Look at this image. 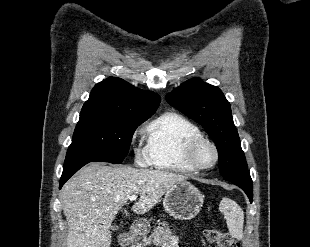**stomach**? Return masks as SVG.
Returning <instances> with one entry per match:
<instances>
[{"instance_id":"0dacf381","label":"stomach","mask_w":310,"mask_h":247,"mask_svg":"<svg viewBox=\"0 0 310 247\" xmlns=\"http://www.w3.org/2000/svg\"><path fill=\"white\" fill-rule=\"evenodd\" d=\"M203 199V194L192 183L183 181L166 192L163 206L173 218L191 220L200 212ZM133 230L135 236H144L149 232L150 225L146 220H137Z\"/></svg>"}]
</instances>
